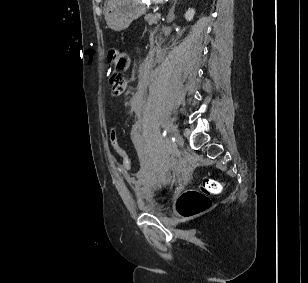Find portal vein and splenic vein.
<instances>
[{
  "label": "portal vein and splenic vein",
  "instance_id": "obj_1",
  "mask_svg": "<svg viewBox=\"0 0 308 283\" xmlns=\"http://www.w3.org/2000/svg\"><path fill=\"white\" fill-rule=\"evenodd\" d=\"M156 16H157L158 18H160V17H161V14H160L159 12H157V13H156Z\"/></svg>",
  "mask_w": 308,
  "mask_h": 283
}]
</instances>
